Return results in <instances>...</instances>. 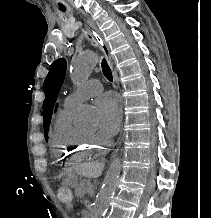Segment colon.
<instances>
[{
    "instance_id": "1",
    "label": "colon",
    "mask_w": 211,
    "mask_h": 218,
    "mask_svg": "<svg viewBox=\"0 0 211 218\" xmlns=\"http://www.w3.org/2000/svg\"><path fill=\"white\" fill-rule=\"evenodd\" d=\"M57 197L62 203H69L72 201L73 194L69 187L61 185L57 189Z\"/></svg>"
}]
</instances>
